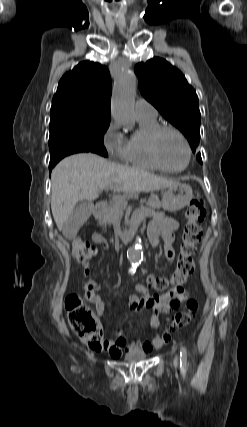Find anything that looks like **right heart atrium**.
<instances>
[{
	"label": "right heart atrium",
	"mask_w": 247,
	"mask_h": 427,
	"mask_svg": "<svg viewBox=\"0 0 247 427\" xmlns=\"http://www.w3.org/2000/svg\"><path fill=\"white\" fill-rule=\"evenodd\" d=\"M106 151L113 157L123 159L126 139L119 125L111 121L105 129L102 137Z\"/></svg>",
	"instance_id": "obj_1"
}]
</instances>
